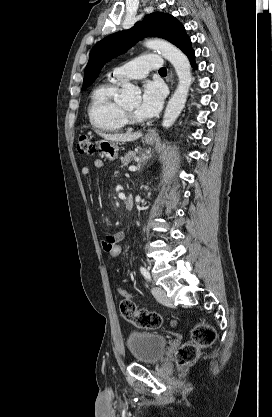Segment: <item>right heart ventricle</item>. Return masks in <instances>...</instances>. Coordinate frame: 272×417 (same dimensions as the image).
Here are the masks:
<instances>
[{"mask_svg":"<svg viewBox=\"0 0 272 417\" xmlns=\"http://www.w3.org/2000/svg\"><path fill=\"white\" fill-rule=\"evenodd\" d=\"M119 81L109 78L91 95L88 115L91 124L103 132H117L126 126L122 106L117 101Z\"/></svg>","mask_w":272,"mask_h":417,"instance_id":"right-heart-ventricle-1","label":"right heart ventricle"}]
</instances>
